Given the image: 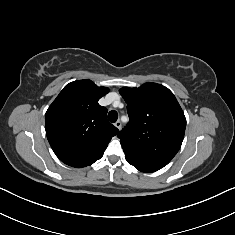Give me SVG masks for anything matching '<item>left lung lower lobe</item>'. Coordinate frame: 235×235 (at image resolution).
I'll return each mask as SVG.
<instances>
[{
    "label": "left lung lower lobe",
    "mask_w": 235,
    "mask_h": 235,
    "mask_svg": "<svg viewBox=\"0 0 235 235\" xmlns=\"http://www.w3.org/2000/svg\"><path fill=\"white\" fill-rule=\"evenodd\" d=\"M126 159L129 164L133 165L136 169L142 172H155L160 169L159 167L148 165V164L136 161V160H131L128 158Z\"/></svg>",
    "instance_id": "left-lung-lower-lobe-1"
}]
</instances>
